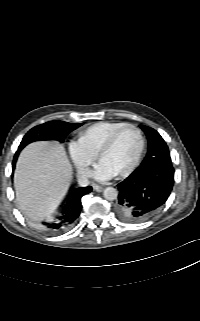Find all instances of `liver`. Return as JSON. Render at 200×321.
Segmentation results:
<instances>
[{
	"label": "liver",
	"mask_w": 200,
	"mask_h": 321,
	"mask_svg": "<svg viewBox=\"0 0 200 321\" xmlns=\"http://www.w3.org/2000/svg\"><path fill=\"white\" fill-rule=\"evenodd\" d=\"M72 167L58 143L35 142L20 153L14 173L16 200L32 219L50 217L69 188Z\"/></svg>",
	"instance_id": "liver-1"
}]
</instances>
